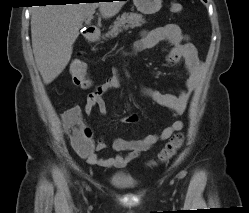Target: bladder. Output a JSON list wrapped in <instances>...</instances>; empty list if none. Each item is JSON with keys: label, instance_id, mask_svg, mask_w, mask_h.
Returning a JSON list of instances; mask_svg holds the SVG:
<instances>
[{"label": "bladder", "instance_id": "bladder-1", "mask_svg": "<svg viewBox=\"0 0 249 213\" xmlns=\"http://www.w3.org/2000/svg\"><path fill=\"white\" fill-rule=\"evenodd\" d=\"M109 181L113 186L121 189L132 188L135 185L134 178L130 174L123 171L113 173Z\"/></svg>", "mask_w": 249, "mask_h": 213}]
</instances>
